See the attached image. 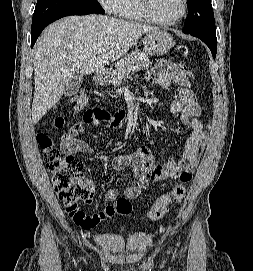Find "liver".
<instances>
[{"label": "liver", "instance_id": "1", "mask_svg": "<svg viewBox=\"0 0 253 271\" xmlns=\"http://www.w3.org/2000/svg\"><path fill=\"white\" fill-rule=\"evenodd\" d=\"M158 28L105 15L70 16L49 25L34 47L32 123L61 99L75 73L101 72L125 55L144 34ZM105 49L101 54L99 49Z\"/></svg>", "mask_w": 253, "mask_h": 271}]
</instances>
